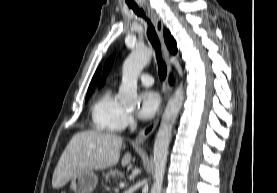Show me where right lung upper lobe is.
<instances>
[{
  "label": "right lung upper lobe",
  "instance_id": "right-lung-upper-lobe-1",
  "mask_svg": "<svg viewBox=\"0 0 277 193\" xmlns=\"http://www.w3.org/2000/svg\"><path fill=\"white\" fill-rule=\"evenodd\" d=\"M164 40H165V43L168 47V49L170 50V52L172 53H176L177 52V46H176V42L174 40V38L171 36L170 32L165 29L164 30ZM100 68L96 71L91 83H90V86L88 88V92L87 94H91L95 88V85L98 81V78L100 76Z\"/></svg>",
  "mask_w": 277,
  "mask_h": 193
}]
</instances>
